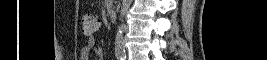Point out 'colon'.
<instances>
[{
  "mask_svg": "<svg viewBox=\"0 0 267 60\" xmlns=\"http://www.w3.org/2000/svg\"><path fill=\"white\" fill-rule=\"evenodd\" d=\"M82 23H83V31L86 34L93 33L99 27V22L97 18L91 14H86L83 17Z\"/></svg>",
  "mask_w": 267,
  "mask_h": 60,
  "instance_id": "5ec220e1",
  "label": "colon"
}]
</instances>
